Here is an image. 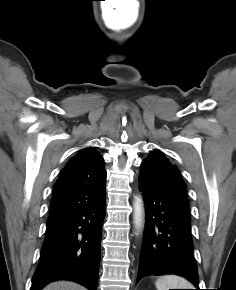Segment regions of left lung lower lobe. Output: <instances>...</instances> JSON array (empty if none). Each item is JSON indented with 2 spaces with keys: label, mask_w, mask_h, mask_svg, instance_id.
Listing matches in <instances>:
<instances>
[{
  "label": "left lung lower lobe",
  "mask_w": 236,
  "mask_h": 290,
  "mask_svg": "<svg viewBox=\"0 0 236 290\" xmlns=\"http://www.w3.org/2000/svg\"><path fill=\"white\" fill-rule=\"evenodd\" d=\"M139 189L144 193L146 222L137 281L148 275L177 274L199 288L189 202L170 189L140 179Z\"/></svg>",
  "instance_id": "0a47b994"
}]
</instances>
